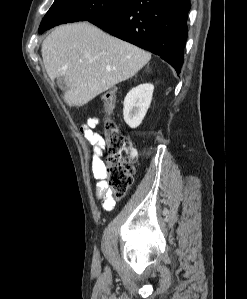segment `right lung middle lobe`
I'll list each match as a JSON object with an SVG mask.
<instances>
[{"label":"right lung middle lobe","instance_id":"obj_1","mask_svg":"<svg viewBox=\"0 0 247 299\" xmlns=\"http://www.w3.org/2000/svg\"><path fill=\"white\" fill-rule=\"evenodd\" d=\"M129 0H55L43 18L39 33L56 25L92 20L107 15Z\"/></svg>","mask_w":247,"mask_h":299}]
</instances>
